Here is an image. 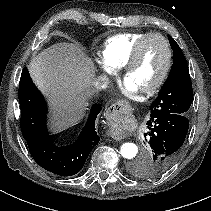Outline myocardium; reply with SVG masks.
<instances>
[{"label": "myocardium", "instance_id": "f54148a6", "mask_svg": "<svg viewBox=\"0 0 211 211\" xmlns=\"http://www.w3.org/2000/svg\"><path fill=\"white\" fill-rule=\"evenodd\" d=\"M151 38H158L163 42L166 49L167 56H166L165 67L160 77L158 78V80L149 88L141 91L142 93L146 95H151V94L156 93L164 85L165 81L167 80L169 76V73L172 67V62H173V53H172V48L168 39L161 33H156V32L147 33L135 44L126 64L124 65V76L125 78H127L130 70L132 69V67L135 65V63L137 62L139 58V54L143 45L146 43V41H148Z\"/></svg>", "mask_w": 211, "mask_h": 211}]
</instances>
